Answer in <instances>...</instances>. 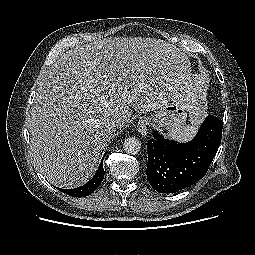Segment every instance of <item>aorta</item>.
Instances as JSON below:
<instances>
[{
	"label": "aorta",
	"mask_w": 255,
	"mask_h": 255,
	"mask_svg": "<svg viewBox=\"0 0 255 255\" xmlns=\"http://www.w3.org/2000/svg\"><path fill=\"white\" fill-rule=\"evenodd\" d=\"M141 149V143L135 137H129L124 141V150L126 153L135 155Z\"/></svg>",
	"instance_id": "obj_1"
}]
</instances>
